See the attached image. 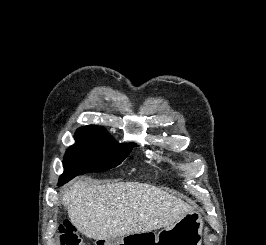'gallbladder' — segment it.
Instances as JSON below:
<instances>
[{
    "mask_svg": "<svg viewBox=\"0 0 266 245\" xmlns=\"http://www.w3.org/2000/svg\"><path fill=\"white\" fill-rule=\"evenodd\" d=\"M121 241H122V237H117V239H113V241H111V239H108L107 243H113V245H119Z\"/></svg>",
    "mask_w": 266,
    "mask_h": 245,
    "instance_id": "bac80fb5",
    "label": "gallbladder"
}]
</instances>
